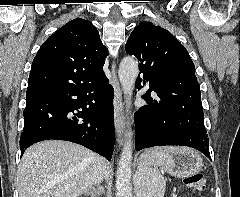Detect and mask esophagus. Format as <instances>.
Returning a JSON list of instances; mask_svg holds the SVG:
<instances>
[{
  "label": "esophagus",
  "mask_w": 240,
  "mask_h": 197,
  "mask_svg": "<svg viewBox=\"0 0 240 197\" xmlns=\"http://www.w3.org/2000/svg\"><path fill=\"white\" fill-rule=\"evenodd\" d=\"M111 72V84L114 89V127L118 144L122 146L124 143L125 117L123 112L122 91L116 75V62H113Z\"/></svg>",
  "instance_id": "esophagus-1"
}]
</instances>
